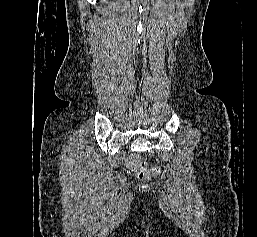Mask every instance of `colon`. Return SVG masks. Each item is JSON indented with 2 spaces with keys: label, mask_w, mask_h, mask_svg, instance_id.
I'll use <instances>...</instances> for the list:
<instances>
[{
  "label": "colon",
  "mask_w": 257,
  "mask_h": 237,
  "mask_svg": "<svg viewBox=\"0 0 257 237\" xmlns=\"http://www.w3.org/2000/svg\"><path fill=\"white\" fill-rule=\"evenodd\" d=\"M135 170L139 178L146 179L150 178L157 174L158 170L156 168H151L146 165V163L138 160L137 158L134 159Z\"/></svg>",
  "instance_id": "1"
}]
</instances>
